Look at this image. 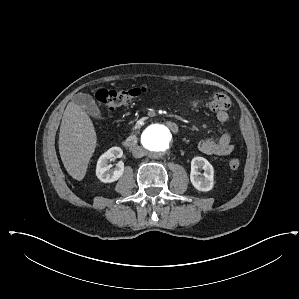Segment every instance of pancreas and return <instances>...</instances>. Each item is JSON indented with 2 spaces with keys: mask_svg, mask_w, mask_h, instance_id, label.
Instances as JSON below:
<instances>
[{
  "mask_svg": "<svg viewBox=\"0 0 299 299\" xmlns=\"http://www.w3.org/2000/svg\"><path fill=\"white\" fill-rule=\"evenodd\" d=\"M140 126H141V125L138 123V124H136V125L134 126V128H133V129H134V130H135V129H139V128H140Z\"/></svg>",
  "mask_w": 299,
  "mask_h": 299,
  "instance_id": "pancreas-1",
  "label": "pancreas"
}]
</instances>
